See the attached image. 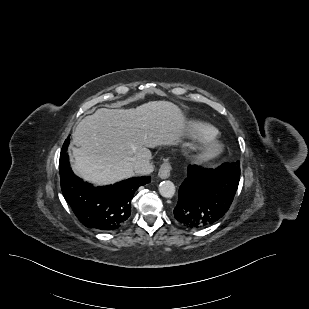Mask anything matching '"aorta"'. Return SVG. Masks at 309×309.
<instances>
[{"instance_id": "obj_1", "label": "aorta", "mask_w": 309, "mask_h": 309, "mask_svg": "<svg viewBox=\"0 0 309 309\" xmlns=\"http://www.w3.org/2000/svg\"><path fill=\"white\" fill-rule=\"evenodd\" d=\"M159 193L165 198H172L175 194V185L169 180L162 181L159 185Z\"/></svg>"}]
</instances>
